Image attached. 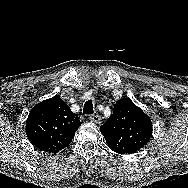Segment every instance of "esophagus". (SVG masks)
I'll return each instance as SVG.
<instances>
[{
    "mask_svg": "<svg viewBox=\"0 0 188 188\" xmlns=\"http://www.w3.org/2000/svg\"><path fill=\"white\" fill-rule=\"evenodd\" d=\"M90 121L95 122L97 124L101 123V117L99 115H91L88 118Z\"/></svg>",
    "mask_w": 188,
    "mask_h": 188,
    "instance_id": "obj_1",
    "label": "esophagus"
}]
</instances>
